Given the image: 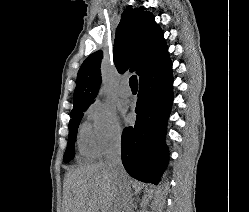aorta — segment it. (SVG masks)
<instances>
[{"mask_svg": "<svg viewBox=\"0 0 249 212\" xmlns=\"http://www.w3.org/2000/svg\"><path fill=\"white\" fill-rule=\"evenodd\" d=\"M105 93V90H101L100 95H103Z\"/></svg>", "mask_w": 249, "mask_h": 212, "instance_id": "obj_1", "label": "aorta"}]
</instances>
